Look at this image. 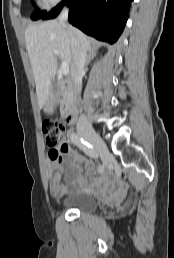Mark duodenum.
Wrapping results in <instances>:
<instances>
[{
  "label": "duodenum",
  "mask_w": 174,
  "mask_h": 258,
  "mask_svg": "<svg viewBox=\"0 0 174 258\" xmlns=\"http://www.w3.org/2000/svg\"><path fill=\"white\" fill-rule=\"evenodd\" d=\"M73 93L74 89L69 84L63 85L58 91L59 97H65L68 101V105L65 110V120L71 125L76 122L78 113L76 103L73 99Z\"/></svg>",
  "instance_id": "1"
}]
</instances>
